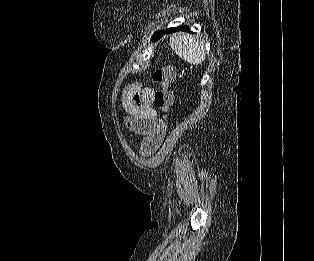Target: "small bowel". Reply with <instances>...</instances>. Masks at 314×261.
<instances>
[{
    "instance_id": "1",
    "label": "small bowel",
    "mask_w": 314,
    "mask_h": 261,
    "mask_svg": "<svg viewBox=\"0 0 314 261\" xmlns=\"http://www.w3.org/2000/svg\"><path fill=\"white\" fill-rule=\"evenodd\" d=\"M154 89L137 82L124 90L122 103L128 116L127 127L144 138L139 149L143 156H149L161 145L167 126L153 108Z\"/></svg>"
}]
</instances>
